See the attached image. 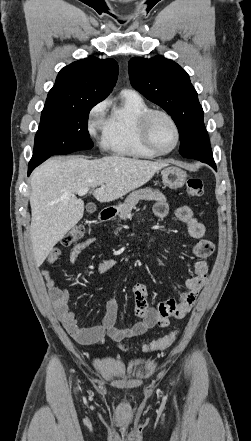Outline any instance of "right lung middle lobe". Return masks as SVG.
<instances>
[{
  "label": "right lung middle lobe",
  "instance_id": "1",
  "mask_svg": "<svg viewBox=\"0 0 251 441\" xmlns=\"http://www.w3.org/2000/svg\"><path fill=\"white\" fill-rule=\"evenodd\" d=\"M102 100L90 97L74 104H45L33 155L50 157L91 149L88 114Z\"/></svg>",
  "mask_w": 251,
  "mask_h": 441
}]
</instances>
